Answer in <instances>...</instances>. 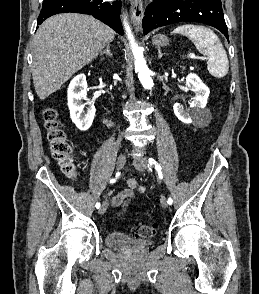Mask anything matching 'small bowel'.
Wrapping results in <instances>:
<instances>
[{
    "mask_svg": "<svg viewBox=\"0 0 259 294\" xmlns=\"http://www.w3.org/2000/svg\"><path fill=\"white\" fill-rule=\"evenodd\" d=\"M127 185L128 188L119 192L117 195L112 197L108 202L111 207L120 208L119 215L123 214L126 211L127 206L129 205L134 196L135 190H138L140 192L144 191V187L139 185L135 179H129L127 181Z\"/></svg>",
    "mask_w": 259,
    "mask_h": 294,
    "instance_id": "obj_1",
    "label": "small bowel"
}]
</instances>
